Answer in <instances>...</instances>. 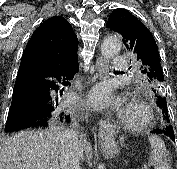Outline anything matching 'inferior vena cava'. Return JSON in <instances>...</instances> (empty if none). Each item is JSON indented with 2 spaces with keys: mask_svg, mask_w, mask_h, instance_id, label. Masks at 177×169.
<instances>
[{
  "mask_svg": "<svg viewBox=\"0 0 177 169\" xmlns=\"http://www.w3.org/2000/svg\"><path fill=\"white\" fill-rule=\"evenodd\" d=\"M78 134L73 130H65L59 142V169H80Z\"/></svg>",
  "mask_w": 177,
  "mask_h": 169,
  "instance_id": "inferior-vena-cava-1",
  "label": "inferior vena cava"
}]
</instances>
